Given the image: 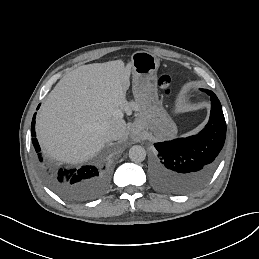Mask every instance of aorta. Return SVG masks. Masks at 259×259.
Wrapping results in <instances>:
<instances>
[{
    "instance_id": "1",
    "label": "aorta",
    "mask_w": 259,
    "mask_h": 259,
    "mask_svg": "<svg viewBox=\"0 0 259 259\" xmlns=\"http://www.w3.org/2000/svg\"><path fill=\"white\" fill-rule=\"evenodd\" d=\"M129 158L135 163H140L146 158V151L144 147L140 145H134L129 150Z\"/></svg>"
}]
</instances>
